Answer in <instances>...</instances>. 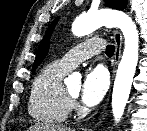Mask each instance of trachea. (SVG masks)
<instances>
[{
  "mask_svg": "<svg viewBox=\"0 0 147 131\" xmlns=\"http://www.w3.org/2000/svg\"><path fill=\"white\" fill-rule=\"evenodd\" d=\"M114 52H115V46H113V45H108V46L106 47V55H107L108 57L113 56Z\"/></svg>",
  "mask_w": 147,
  "mask_h": 131,
  "instance_id": "1",
  "label": "trachea"
}]
</instances>
